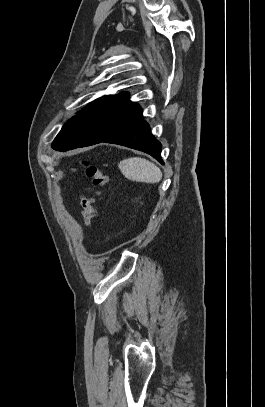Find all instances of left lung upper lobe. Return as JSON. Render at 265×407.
Here are the masks:
<instances>
[{
	"instance_id": "obj_1",
	"label": "left lung upper lobe",
	"mask_w": 265,
	"mask_h": 407,
	"mask_svg": "<svg viewBox=\"0 0 265 407\" xmlns=\"http://www.w3.org/2000/svg\"><path fill=\"white\" fill-rule=\"evenodd\" d=\"M140 118L142 109L130 102L128 93L104 96L72 117L54 139L52 148H78L102 142Z\"/></svg>"
}]
</instances>
